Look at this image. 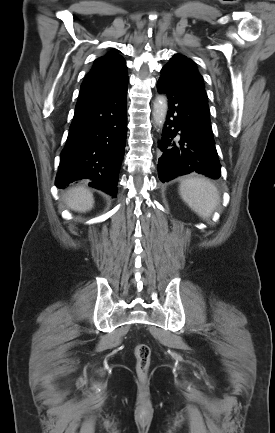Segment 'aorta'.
<instances>
[{"label": "aorta", "instance_id": "1", "mask_svg": "<svg viewBox=\"0 0 275 433\" xmlns=\"http://www.w3.org/2000/svg\"><path fill=\"white\" fill-rule=\"evenodd\" d=\"M168 111V100L163 94L158 95L153 104V119L154 123L158 127H162L166 120Z\"/></svg>", "mask_w": 275, "mask_h": 433}]
</instances>
